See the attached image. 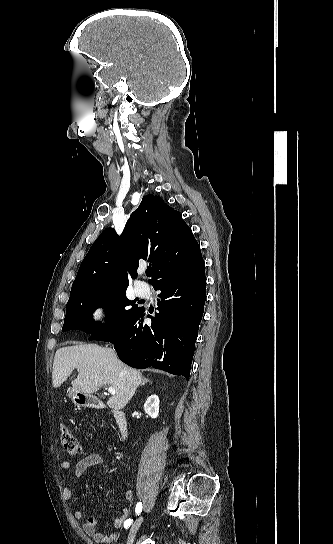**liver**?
<instances>
[{"label": "liver", "instance_id": "6515ba94", "mask_svg": "<svg viewBox=\"0 0 333 544\" xmlns=\"http://www.w3.org/2000/svg\"><path fill=\"white\" fill-rule=\"evenodd\" d=\"M75 368L78 376L71 382L73 389L93 394L104 385L112 386L115 394L107 405L115 410L123 409L145 380L141 372L124 365L113 349L97 344H79L56 351L52 372L54 388L60 387Z\"/></svg>", "mask_w": 333, "mask_h": 544}]
</instances>
